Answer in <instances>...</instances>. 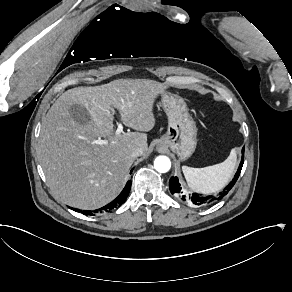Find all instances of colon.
<instances>
[{"instance_id":"colon-1","label":"colon","mask_w":292,"mask_h":292,"mask_svg":"<svg viewBox=\"0 0 292 292\" xmlns=\"http://www.w3.org/2000/svg\"><path fill=\"white\" fill-rule=\"evenodd\" d=\"M218 110L221 112V109L220 108H218Z\"/></svg>"}]
</instances>
